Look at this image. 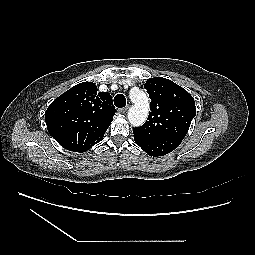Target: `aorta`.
Returning <instances> with one entry per match:
<instances>
[{
	"mask_svg": "<svg viewBox=\"0 0 255 255\" xmlns=\"http://www.w3.org/2000/svg\"><path fill=\"white\" fill-rule=\"evenodd\" d=\"M130 99L133 105L128 110V120L134 127L141 126L147 119L149 113V101L140 89H133L130 92Z\"/></svg>",
	"mask_w": 255,
	"mask_h": 255,
	"instance_id": "1",
	"label": "aorta"
}]
</instances>
